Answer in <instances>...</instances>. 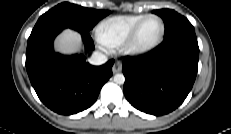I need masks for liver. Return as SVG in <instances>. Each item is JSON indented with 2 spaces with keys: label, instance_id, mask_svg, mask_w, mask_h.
<instances>
[{
  "label": "liver",
  "instance_id": "1",
  "mask_svg": "<svg viewBox=\"0 0 231 134\" xmlns=\"http://www.w3.org/2000/svg\"><path fill=\"white\" fill-rule=\"evenodd\" d=\"M81 47V39L79 35L70 29L63 31L55 42L56 51L63 54H72Z\"/></svg>",
  "mask_w": 231,
  "mask_h": 134
}]
</instances>
